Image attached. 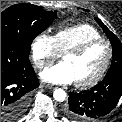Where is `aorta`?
<instances>
[{"label":"aorta","mask_w":122,"mask_h":122,"mask_svg":"<svg viewBox=\"0 0 122 122\" xmlns=\"http://www.w3.org/2000/svg\"><path fill=\"white\" fill-rule=\"evenodd\" d=\"M53 97L58 102H63L66 99V92L63 89H55L53 92Z\"/></svg>","instance_id":"762f6f07"}]
</instances>
